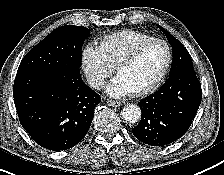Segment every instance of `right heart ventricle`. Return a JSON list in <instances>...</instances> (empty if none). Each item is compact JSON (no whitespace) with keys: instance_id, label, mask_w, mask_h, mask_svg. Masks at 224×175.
Returning a JSON list of instances; mask_svg holds the SVG:
<instances>
[{"instance_id":"obj_1","label":"right heart ventricle","mask_w":224,"mask_h":175,"mask_svg":"<svg viewBox=\"0 0 224 175\" xmlns=\"http://www.w3.org/2000/svg\"><path fill=\"white\" fill-rule=\"evenodd\" d=\"M150 35L132 30L114 32L100 40L99 48L108 61L115 67L139 44L152 39Z\"/></svg>"}]
</instances>
